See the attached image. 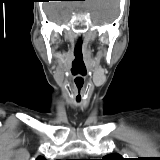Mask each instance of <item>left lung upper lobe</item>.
<instances>
[{
	"instance_id": "obj_1",
	"label": "left lung upper lobe",
	"mask_w": 160,
	"mask_h": 160,
	"mask_svg": "<svg viewBox=\"0 0 160 160\" xmlns=\"http://www.w3.org/2000/svg\"><path fill=\"white\" fill-rule=\"evenodd\" d=\"M102 160H124V158H122L119 154L117 153H113L110 154L104 158H102Z\"/></svg>"
}]
</instances>
